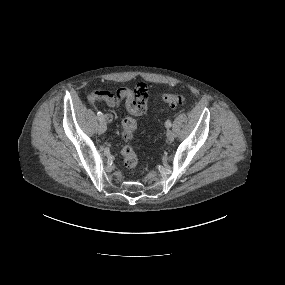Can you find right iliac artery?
<instances>
[{"label": "right iliac artery", "instance_id": "obj_1", "mask_svg": "<svg viewBox=\"0 0 285 285\" xmlns=\"http://www.w3.org/2000/svg\"><path fill=\"white\" fill-rule=\"evenodd\" d=\"M97 118H98L99 121H103L104 120L103 114L100 111L97 112Z\"/></svg>", "mask_w": 285, "mask_h": 285}]
</instances>
